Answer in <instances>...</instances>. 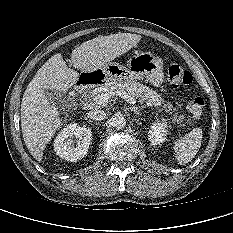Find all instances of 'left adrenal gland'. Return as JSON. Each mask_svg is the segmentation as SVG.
<instances>
[{"instance_id": "1", "label": "left adrenal gland", "mask_w": 233, "mask_h": 233, "mask_svg": "<svg viewBox=\"0 0 233 233\" xmlns=\"http://www.w3.org/2000/svg\"><path fill=\"white\" fill-rule=\"evenodd\" d=\"M143 108H144L143 106H139V107L133 106V107L130 108V110L139 115L140 110L143 109Z\"/></svg>"}]
</instances>
